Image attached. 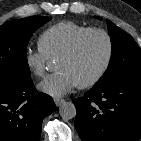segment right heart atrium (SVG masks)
<instances>
[{"label":"right heart atrium","mask_w":141,"mask_h":141,"mask_svg":"<svg viewBox=\"0 0 141 141\" xmlns=\"http://www.w3.org/2000/svg\"><path fill=\"white\" fill-rule=\"evenodd\" d=\"M51 59L40 45L35 48L28 47L24 53L25 65L35 77H42L45 74Z\"/></svg>","instance_id":"obj_1"}]
</instances>
